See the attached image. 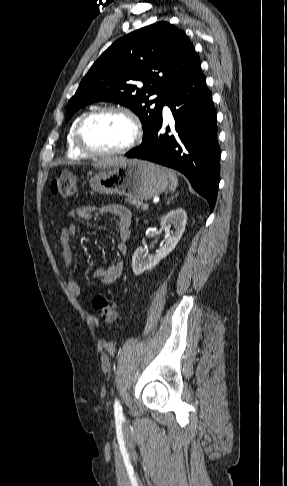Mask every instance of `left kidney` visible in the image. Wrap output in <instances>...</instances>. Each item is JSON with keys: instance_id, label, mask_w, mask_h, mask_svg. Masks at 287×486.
I'll list each match as a JSON object with an SVG mask.
<instances>
[{"instance_id": "obj_1", "label": "left kidney", "mask_w": 287, "mask_h": 486, "mask_svg": "<svg viewBox=\"0 0 287 486\" xmlns=\"http://www.w3.org/2000/svg\"><path fill=\"white\" fill-rule=\"evenodd\" d=\"M186 223L187 214L182 208L171 210L166 215L162 216L160 226L165 232V244L156 252L155 255H150L147 249L138 247L132 257L133 273L135 275H140L145 271L151 270L157 266L158 263L170 252H172L185 231ZM171 225L174 226V231L170 230Z\"/></svg>"}]
</instances>
